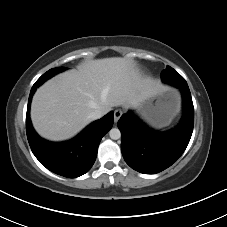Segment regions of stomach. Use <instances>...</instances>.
<instances>
[{"label":"stomach","instance_id":"1","mask_svg":"<svg viewBox=\"0 0 227 227\" xmlns=\"http://www.w3.org/2000/svg\"><path fill=\"white\" fill-rule=\"evenodd\" d=\"M180 98L177 92L168 91L154 94L138 107L140 115L152 126L167 125L179 110Z\"/></svg>","mask_w":227,"mask_h":227}]
</instances>
